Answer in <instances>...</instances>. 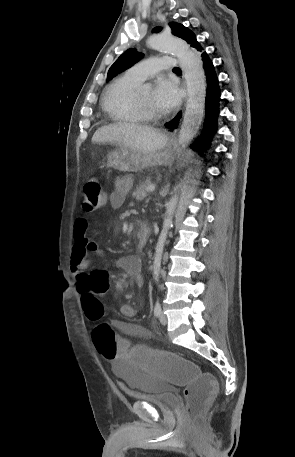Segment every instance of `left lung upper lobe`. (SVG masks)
<instances>
[{
  "instance_id": "left-lung-upper-lobe-1",
  "label": "left lung upper lobe",
  "mask_w": 295,
  "mask_h": 457,
  "mask_svg": "<svg viewBox=\"0 0 295 457\" xmlns=\"http://www.w3.org/2000/svg\"><path fill=\"white\" fill-rule=\"evenodd\" d=\"M169 26L172 29V34L185 40L188 44H192L196 40L195 34L188 29L187 27L183 26L182 24L171 22ZM161 31V27H156L153 29V32L157 33ZM142 54L137 52L134 49H128L125 51L110 67L107 75V80L112 79L119 73L125 71L127 68L131 67L137 61L140 60Z\"/></svg>"
}]
</instances>
